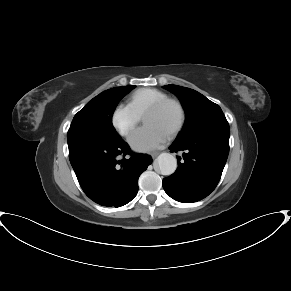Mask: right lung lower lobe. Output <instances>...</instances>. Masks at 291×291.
<instances>
[{
    "instance_id": "98d812e1",
    "label": "right lung lower lobe",
    "mask_w": 291,
    "mask_h": 291,
    "mask_svg": "<svg viewBox=\"0 0 291 291\" xmlns=\"http://www.w3.org/2000/svg\"><path fill=\"white\" fill-rule=\"evenodd\" d=\"M69 159L85 194L103 206L120 207L138 192V178L152 163L147 154L130 153L121 138L101 141L92 138L68 139ZM130 158L119 160L120 155Z\"/></svg>"
}]
</instances>
